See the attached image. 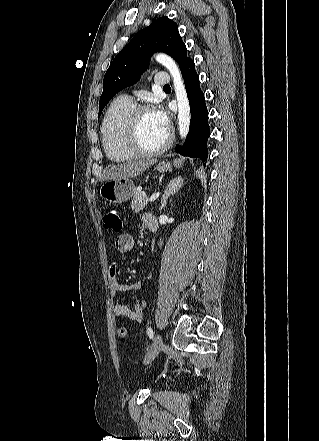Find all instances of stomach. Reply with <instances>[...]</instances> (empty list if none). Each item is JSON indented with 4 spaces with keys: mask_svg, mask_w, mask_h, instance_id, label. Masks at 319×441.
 <instances>
[{
    "mask_svg": "<svg viewBox=\"0 0 319 441\" xmlns=\"http://www.w3.org/2000/svg\"><path fill=\"white\" fill-rule=\"evenodd\" d=\"M173 165L180 167L179 160H175ZM159 172H165L172 169V165L169 162L159 163L156 167ZM135 191L134 183L129 179H113L107 180L100 188V196L107 203H123L129 200Z\"/></svg>",
    "mask_w": 319,
    "mask_h": 441,
    "instance_id": "1",
    "label": "stomach"
}]
</instances>
